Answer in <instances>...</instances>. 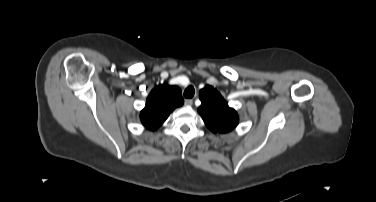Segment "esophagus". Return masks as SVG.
I'll use <instances>...</instances> for the list:
<instances>
[{
	"instance_id": "obj_1",
	"label": "esophagus",
	"mask_w": 376,
	"mask_h": 202,
	"mask_svg": "<svg viewBox=\"0 0 376 202\" xmlns=\"http://www.w3.org/2000/svg\"><path fill=\"white\" fill-rule=\"evenodd\" d=\"M185 105L187 106H191L193 104V100L192 99H185Z\"/></svg>"
}]
</instances>
